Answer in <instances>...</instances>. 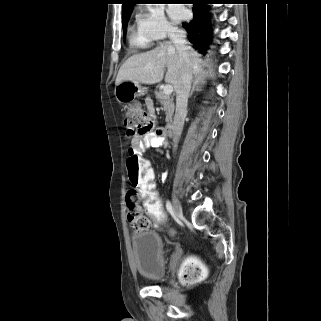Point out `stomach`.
Listing matches in <instances>:
<instances>
[{"instance_id": "0dacf381", "label": "stomach", "mask_w": 321, "mask_h": 321, "mask_svg": "<svg viewBox=\"0 0 321 321\" xmlns=\"http://www.w3.org/2000/svg\"><path fill=\"white\" fill-rule=\"evenodd\" d=\"M146 94V88L140 83H133L130 81H122L115 87V97L120 103H128L135 97Z\"/></svg>"}]
</instances>
